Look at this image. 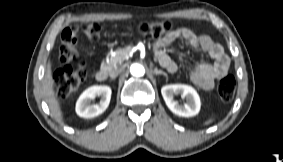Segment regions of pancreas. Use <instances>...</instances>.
Returning <instances> with one entry per match:
<instances>
[{"instance_id": "cf45deb5", "label": "pancreas", "mask_w": 283, "mask_h": 162, "mask_svg": "<svg viewBox=\"0 0 283 162\" xmlns=\"http://www.w3.org/2000/svg\"><path fill=\"white\" fill-rule=\"evenodd\" d=\"M128 55V51L126 49H117L114 52V55L109 57V64L106 65L107 69L113 72L118 66L125 60Z\"/></svg>"}]
</instances>
